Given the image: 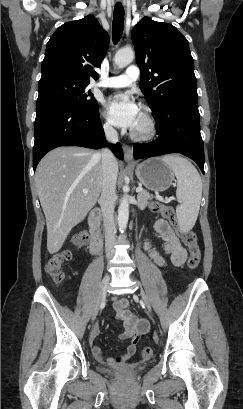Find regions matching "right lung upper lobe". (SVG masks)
I'll return each instance as SVG.
<instances>
[{"label":"right lung upper lobe","mask_w":243,"mask_h":409,"mask_svg":"<svg viewBox=\"0 0 243 409\" xmlns=\"http://www.w3.org/2000/svg\"><path fill=\"white\" fill-rule=\"evenodd\" d=\"M108 45L109 35L93 15L63 24L47 43L41 79L63 76L86 84L97 80L93 68L100 67Z\"/></svg>","instance_id":"right-lung-upper-lobe-1"}]
</instances>
